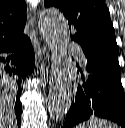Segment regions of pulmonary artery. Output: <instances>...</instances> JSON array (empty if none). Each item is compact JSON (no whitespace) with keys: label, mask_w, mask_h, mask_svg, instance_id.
Returning <instances> with one entry per match:
<instances>
[{"label":"pulmonary artery","mask_w":125,"mask_h":128,"mask_svg":"<svg viewBox=\"0 0 125 128\" xmlns=\"http://www.w3.org/2000/svg\"><path fill=\"white\" fill-rule=\"evenodd\" d=\"M65 43H66L67 45H69L70 47L75 48V44H74L73 42H71V41H69V40H65ZM74 54H75L76 58H77L82 64H84V54H83V52H82L80 49L75 48V49H74Z\"/></svg>","instance_id":"obj_1"}]
</instances>
